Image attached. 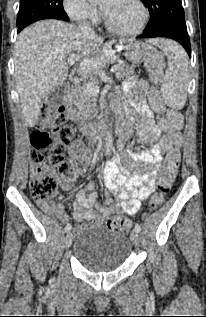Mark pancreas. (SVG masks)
<instances>
[{
    "instance_id": "obj_1",
    "label": "pancreas",
    "mask_w": 206,
    "mask_h": 317,
    "mask_svg": "<svg viewBox=\"0 0 206 317\" xmlns=\"http://www.w3.org/2000/svg\"><path fill=\"white\" fill-rule=\"evenodd\" d=\"M134 69V65L122 63L116 73L117 79L121 80L129 77L134 73ZM73 103L77 107V119L79 120H88L92 118L93 114L96 112V97L88 94L82 87L75 89Z\"/></svg>"
}]
</instances>
